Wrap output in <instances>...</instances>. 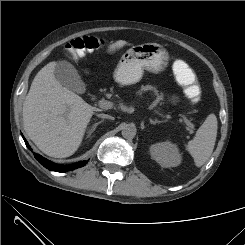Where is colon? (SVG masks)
<instances>
[{"label":"colon","mask_w":245,"mask_h":245,"mask_svg":"<svg viewBox=\"0 0 245 245\" xmlns=\"http://www.w3.org/2000/svg\"><path fill=\"white\" fill-rule=\"evenodd\" d=\"M101 46V41L93 36H84L72 40L67 46L68 53L74 58H80ZM184 88V93L191 101H198L201 97V87L195 78L191 81L178 80Z\"/></svg>","instance_id":"colon-1"}]
</instances>
